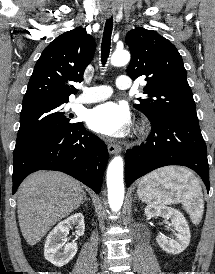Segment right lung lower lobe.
<instances>
[{"label": "right lung lower lobe", "instance_id": "98d812e1", "mask_svg": "<svg viewBox=\"0 0 215 274\" xmlns=\"http://www.w3.org/2000/svg\"><path fill=\"white\" fill-rule=\"evenodd\" d=\"M13 161V194L27 175L41 169L69 174L99 194L108 151L101 139L78 123L37 142Z\"/></svg>", "mask_w": 215, "mask_h": 274}]
</instances>
